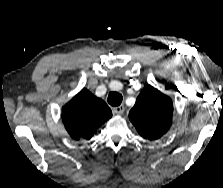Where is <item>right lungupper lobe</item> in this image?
I'll return each instance as SVG.
<instances>
[{"label":"right lung upper lobe","instance_id":"right-lung-upper-lobe-1","mask_svg":"<svg viewBox=\"0 0 223 188\" xmlns=\"http://www.w3.org/2000/svg\"><path fill=\"white\" fill-rule=\"evenodd\" d=\"M111 117L108 105L86 88L65 104L62 110L65 128L75 140H89Z\"/></svg>","mask_w":223,"mask_h":188}]
</instances>
